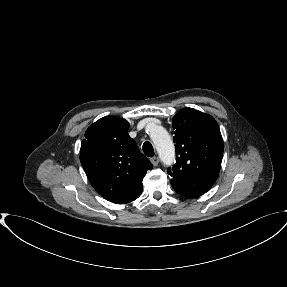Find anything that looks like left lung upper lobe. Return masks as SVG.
I'll return each instance as SVG.
<instances>
[{
	"instance_id": "5c2ea615",
	"label": "left lung upper lobe",
	"mask_w": 287,
	"mask_h": 287,
	"mask_svg": "<svg viewBox=\"0 0 287 287\" xmlns=\"http://www.w3.org/2000/svg\"><path fill=\"white\" fill-rule=\"evenodd\" d=\"M176 163L169 168L170 183L185 197H198L215 183L221 168L223 140L216 120L193 108L173 117Z\"/></svg>"
}]
</instances>
